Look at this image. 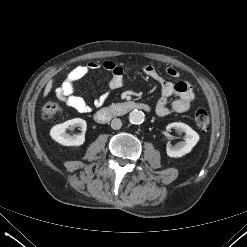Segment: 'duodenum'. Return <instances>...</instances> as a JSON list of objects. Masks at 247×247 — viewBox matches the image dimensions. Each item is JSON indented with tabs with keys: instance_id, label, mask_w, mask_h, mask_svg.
Wrapping results in <instances>:
<instances>
[{
	"instance_id": "1",
	"label": "duodenum",
	"mask_w": 247,
	"mask_h": 247,
	"mask_svg": "<svg viewBox=\"0 0 247 247\" xmlns=\"http://www.w3.org/2000/svg\"><path fill=\"white\" fill-rule=\"evenodd\" d=\"M134 110H142L149 112L151 110L150 106L146 103L135 102V101H123L113 103L109 106L99 109L94 118L99 123H106L114 117L123 116Z\"/></svg>"
}]
</instances>
